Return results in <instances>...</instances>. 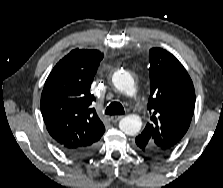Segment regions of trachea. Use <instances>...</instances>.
<instances>
[{"label": "trachea", "instance_id": "1", "mask_svg": "<svg viewBox=\"0 0 223 188\" xmlns=\"http://www.w3.org/2000/svg\"><path fill=\"white\" fill-rule=\"evenodd\" d=\"M107 115H123L124 108L119 102H112L105 110Z\"/></svg>", "mask_w": 223, "mask_h": 188}]
</instances>
